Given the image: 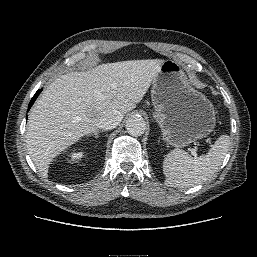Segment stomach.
<instances>
[{"label": "stomach", "instance_id": "1", "mask_svg": "<svg viewBox=\"0 0 257 257\" xmlns=\"http://www.w3.org/2000/svg\"><path fill=\"white\" fill-rule=\"evenodd\" d=\"M151 96L154 118L170 145L185 147L215 128L212 103L192 86L176 61L164 60L152 82Z\"/></svg>", "mask_w": 257, "mask_h": 257}]
</instances>
